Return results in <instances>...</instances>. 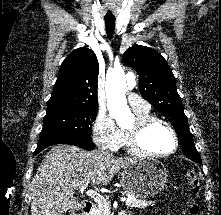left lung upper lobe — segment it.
<instances>
[{
    "mask_svg": "<svg viewBox=\"0 0 221 215\" xmlns=\"http://www.w3.org/2000/svg\"><path fill=\"white\" fill-rule=\"evenodd\" d=\"M123 62L139 74V90L176 129L186 157L201 163L184 114L181 98L176 90L174 75L166 60L155 50L135 45L126 50Z\"/></svg>",
    "mask_w": 221,
    "mask_h": 215,
    "instance_id": "1",
    "label": "left lung upper lobe"
}]
</instances>
